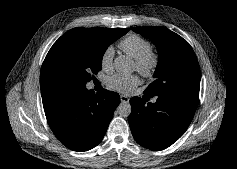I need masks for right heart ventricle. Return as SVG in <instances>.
I'll use <instances>...</instances> for the list:
<instances>
[{
	"label": "right heart ventricle",
	"mask_w": 237,
	"mask_h": 169,
	"mask_svg": "<svg viewBox=\"0 0 237 169\" xmlns=\"http://www.w3.org/2000/svg\"><path fill=\"white\" fill-rule=\"evenodd\" d=\"M119 46L126 54L134 59L141 57L151 49L150 42L136 34L125 37Z\"/></svg>",
	"instance_id": "1"
}]
</instances>
